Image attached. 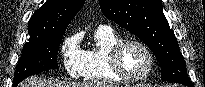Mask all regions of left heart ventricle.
<instances>
[{"label": "left heart ventricle", "mask_w": 205, "mask_h": 87, "mask_svg": "<svg viewBox=\"0 0 205 87\" xmlns=\"http://www.w3.org/2000/svg\"><path fill=\"white\" fill-rule=\"evenodd\" d=\"M120 63L127 74L138 76L147 69L148 58L141 47L135 44H128L121 52Z\"/></svg>", "instance_id": "left-heart-ventricle-1"}]
</instances>
